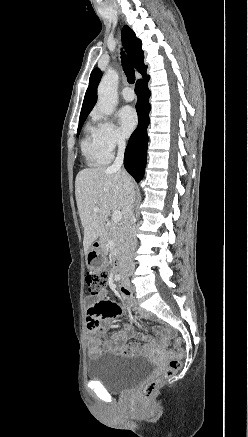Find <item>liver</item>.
I'll use <instances>...</instances> for the list:
<instances>
[{
    "label": "liver",
    "mask_w": 248,
    "mask_h": 437,
    "mask_svg": "<svg viewBox=\"0 0 248 437\" xmlns=\"http://www.w3.org/2000/svg\"><path fill=\"white\" fill-rule=\"evenodd\" d=\"M129 183L133 184V181L128 173L110 168H86L77 174L75 197L84 228L85 254L103 233L110 212L124 210L125 190ZM95 207L99 210L94 211Z\"/></svg>",
    "instance_id": "liver-1"
}]
</instances>
